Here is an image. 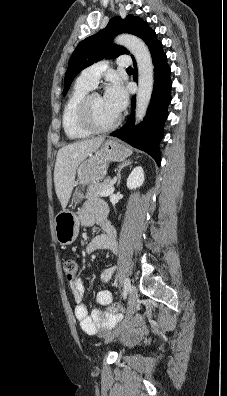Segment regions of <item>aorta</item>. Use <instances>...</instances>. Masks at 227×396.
Instances as JSON below:
<instances>
[{
  "instance_id": "aorta-1",
  "label": "aorta",
  "mask_w": 227,
  "mask_h": 396,
  "mask_svg": "<svg viewBox=\"0 0 227 396\" xmlns=\"http://www.w3.org/2000/svg\"><path fill=\"white\" fill-rule=\"evenodd\" d=\"M115 43L126 47L135 57L138 67V90L136 96V123L146 115L154 82V67L150 51L146 44L138 37L121 34L115 38Z\"/></svg>"
}]
</instances>
